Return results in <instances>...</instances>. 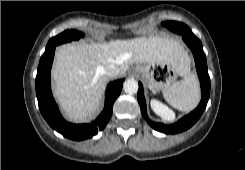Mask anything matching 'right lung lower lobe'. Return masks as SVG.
Masks as SVG:
<instances>
[{
	"label": "right lung lower lobe",
	"instance_id": "1",
	"mask_svg": "<svg viewBox=\"0 0 245 170\" xmlns=\"http://www.w3.org/2000/svg\"><path fill=\"white\" fill-rule=\"evenodd\" d=\"M55 47L45 50L40 59L36 76V95L41 114L48 124L63 136L72 140L90 138L102 130L112 116V107L122 90L123 80L110 83L106 89L105 107L95 122L87 124H72L66 122L53 99L50 88V70L54 58Z\"/></svg>",
	"mask_w": 245,
	"mask_h": 170
}]
</instances>
